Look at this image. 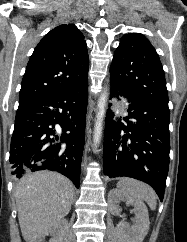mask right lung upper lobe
I'll return each instance as SVG.
<instances>
[{
    "instance_id": "obj_1",
    "label": "right lung upper lobe",
    "mask_w": 187,
    "mask_h": 242,
    "mask_svg": "<svg viewBox=\"0 0 187 242\" xmlns=\"http://www.w3.org/2000/svg\"><path fill=\"white\" fill-rule=\"evenodd\" d=\"M89 58L83 34L74 24L47 33L27 64L19 104L35 100L88 80Z\"/></svg>"
}]
</instances>
